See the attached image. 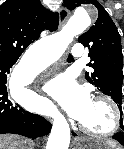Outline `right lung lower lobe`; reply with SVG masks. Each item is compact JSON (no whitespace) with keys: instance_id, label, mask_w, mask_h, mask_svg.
Here are the masks:
<instances>
[{"instance_id":"right-lung-lower-lobe-1","label":"right lung lower lobe","mask_w":124,"mask_h":149,"mask_svg":"<svg viewBox=\"0 0 124 149\" xmlns=\"http://www.w3.org/2000/svg\"><path fill=\"white\" fill-rule=\"evenodd\" d=\"M18 59L0 61V134L12 133L35 139L47 135L51 124L43 117L13 103L7 93V77Z\"/></svg>"}]
</instances>
